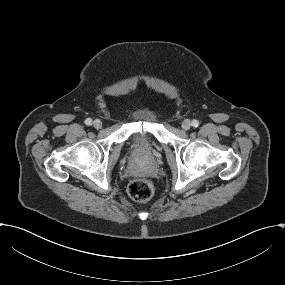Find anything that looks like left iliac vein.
<instances>
[{
	"mask_svg": "<svg viewBox=\"0 0 285 285\" xmlns=\"http://www.w3.org/2000/svg\"><path fill=\"white\" fill-rule=\"evenodd\" d=\"M191 121L189 119H185L183 122H182V127L183 129L185 130H189L191 128Z\"/></svg>",
	"mask_w": 285,
	"mask_h": 285,
	"instance_id": "left-iliac-vein-1",
	"label": "left iliac vein"
}]
</instances>
